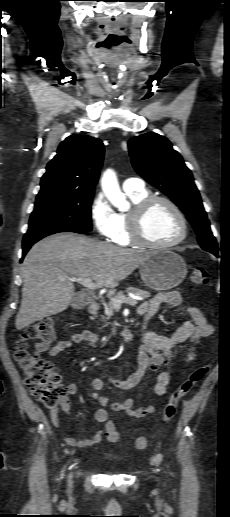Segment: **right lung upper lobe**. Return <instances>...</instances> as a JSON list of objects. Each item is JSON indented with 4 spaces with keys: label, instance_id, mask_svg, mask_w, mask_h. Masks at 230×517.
<instances>
[{
    "label": "right lung upper lobe",
    "instance_id": "1",
    "mask_svg": "<svg viewBox=\"0 0 230 517\" xmlns=\"http://www.w3.org/2000/svg\"><path fill=\"white\" fill-rule=\"evenodd\" d=\"M104 157L100 139L71 135L47 164L37 197L52 194L94 192Z\"/></svg>",
    "mask_w": 230,
    "mask_h": 517
}]
</instances>
